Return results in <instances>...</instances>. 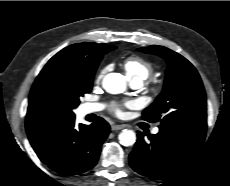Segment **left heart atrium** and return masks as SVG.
<instances>
[{
    "label": "left heart atrium",
    "instance_id": "1",
    "mask_svg": "<svg viewBox=\"0 0 230 186\" xmlns=\"http://www.w3.org/2000/svg\"><path fill=\"white\" fill-rule=\"evenodd\" d=\"M126 107H133V103L125 104ZM114 112L116 115L121 116L123 114V108L121 106H116L114 108Z\"/></svg>",
    "mask_w": 230,
    "mask_h": 186
}]
</instances>
